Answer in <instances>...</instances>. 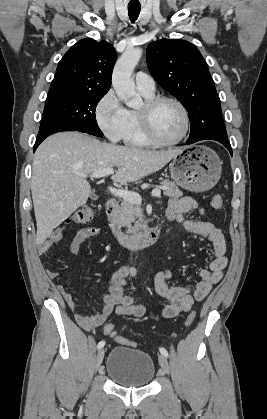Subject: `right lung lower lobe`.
<instances>
[{"label":"right lung lower lobe","instance_id":"1","mask_svg":"<svg viewBox=\"0 0 267 419\" xmlns=\"http://www.w3.org/2000/svg\"><path fill=\"white\" fill-rule=\"evenodd\" d=\"M61 131H77L76 129L69 127L65 124L52 121L49 119H43L40 125L38 136L34 145V151L39 146V144L47 138L49 135Z\"/></svg>","mask_w":267,"mask_h":419}]
</instances>
